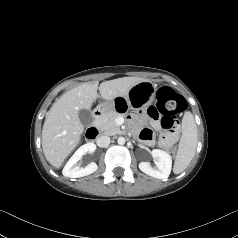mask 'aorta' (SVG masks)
Instances as JSON below:
<instances>
[{
  "label": "aorta",
  "mask_w": 238,
  "mask_h": 238,
  "mask_svg": "<svg viewBox=\"0 0 238 238\" xmlns=\"http://www.w3.org/2000/svg\"><path fill=\"white\" fill-rule=\"evenodd\" d=\"M117 142H118L119 145H124L125 142H126V140H125L124 137H119V138L117 139Z\"/></svg>",
  "instance_id": "1"
}]
</instances>
